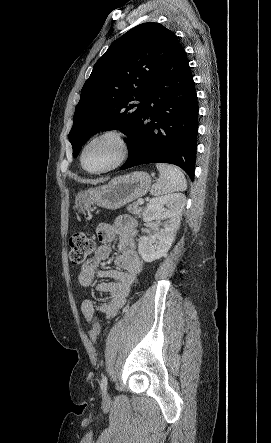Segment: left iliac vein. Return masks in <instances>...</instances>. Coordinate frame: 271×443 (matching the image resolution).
<instances>
[{
    "instance_id": "left-iliac-vein-1",
    "label": "left iliac vein",
    "mask_w": 271,
    "mask_h": 443,
    "mask_svg": "<svg viewBox=\"0 0 271 443\" xmlns=\"http://www.w3.org/2000/svg\"><path fill=\"white\" fill-rule=\"evenodd\" d=\"M104 398H108V395H107V393H105V394H104Z\"/></svg>"
}]
</instances>
